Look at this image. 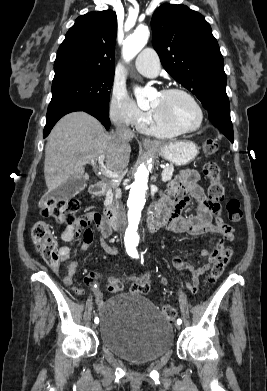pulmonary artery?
I'll return each mask as SVG.
<instances>
[{
    "label": "pulmonary artery",
    "mask_w": 267,
    "mask_h": 391,
    "mask_svg": "<svg viewBox=\"0 0 267 391\" xmlns=\"http://www.w3.org/2000/svg\"><path fill=\"white\" fill-rule=\"evenodd\" d=\"M136 70L146 77H156L160 71V59L152 48L143 49L135 59Z\"/></svg>",
    "instance_id": "obj_1"
}]
</instances>
